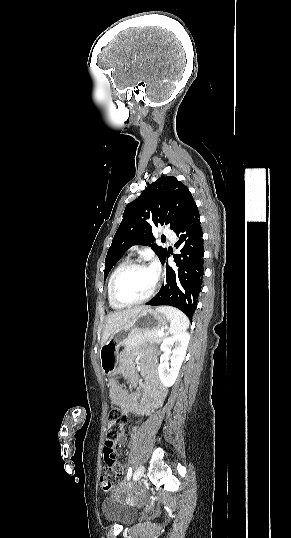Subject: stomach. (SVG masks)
Instances as JSON below:
<instances>
[{"label":"stomach","mask_w":291,"mask_h":538,"mask_svg":"<svg viewBox=\"0 0 291 538\" xmlns=\"http://www.w3.org/2000/svg\"><path fill=\"white\" fill-rule=\"evenodd\" d=\"M168 321L165 314L152 308L142 310L129 324L117 330L100 348L101 370L106 377L117 371L118 348L130 336L143 331H156L164 328Z\"/></svg>","instance_id":"obj_1"}]
</instances>
